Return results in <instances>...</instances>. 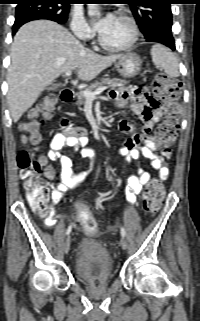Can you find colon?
<instances>
[{"instance_id":"obj_1","label":"colon","mask_w":200,"mask_h":321,"mask_svg":"<svg viewBox=\"0 0 200 321\" xmlns=\"http://www.w3.org/2000/svg\"><path fill=\"white\" fill-rule=\"evenodd\" d=\"M180 84L164 73H159L154 79V95L164 102L166 119L158 126V142L163 153L170 155L171 147L175 142L179 127L180 109L177 99L180 96ZM56 105L54 96H47L40 104L38 111L43 119L52 117ZM40 122L31 120L24 124L23 128L27 132V140L32 145H37L39 136L37 128ZM17 165L23 186L27 193V199L39 216L47 218L51 215V208L47 204L49 191L41 182L44 173L45 162L36 157L35 151L23 149L17 154ZM164 198V187L159 180H151L147 185L143 197L142 205L148 214L156 213ZM72 212H78L77 221L81 222L83 229L88 234L97 231V223L91 213L84 208L81 202L71 206Z\"/></svg>"}]
</instances>
